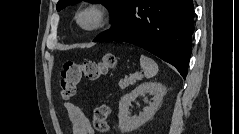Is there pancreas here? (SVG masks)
I'll return each instance as SVG.
<instances>
[{"mask_svg": "<svg viewBox=\"0 0 239 134\" xmlns=\"http://www.w3.org/2000/svg\"><path fill=\"white\" fill-rule=\"evenodd\" d=\"M141 79H142L141 74H133V75H130L128 78L120 80L118 85L121 89H125V88L135 84L137 81H139Z\"/></svg>", "mask_w": 239, "mask_h": 134, "instance_id": "cf45deb5", "label": "pancreas"}]
</instances>
